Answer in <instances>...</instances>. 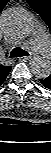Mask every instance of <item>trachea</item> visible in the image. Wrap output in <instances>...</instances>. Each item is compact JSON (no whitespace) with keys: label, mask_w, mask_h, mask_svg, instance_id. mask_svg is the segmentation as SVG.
I'll list each match as a JSON object with an SVG mask.
<instances>
[{"label":"trachea","mask_w":51,"mask_h":153,"mask_svg":"<svg viewBox=\"0 0 51 153\" xmlns=\"http://www.w3.org/2000/svg\"><path fill=\"white\" fill-rule=\"evenodd\" d=\"M29 53L27 51H24L23 49L19 47H15L12 49L10 52V57L11 58H17V57H23V56H28Z\"/></svg>","instance_id":"obj_1"}]
</instances>
